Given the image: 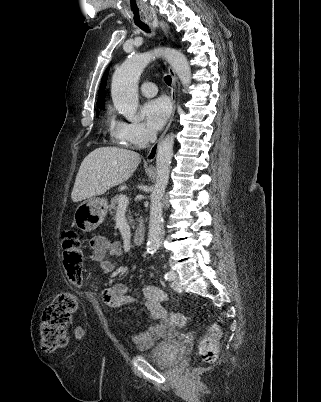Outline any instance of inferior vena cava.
I'll return each instance as SVG.
<instances>
[{"instance_id":"1","label":"inferior vena cava","mask_w":321,"mask_h":402,"mask_svg":"<svg viewBox=\"0 0 321 402\" xmlns=\"http://www.w3.org/2000/svg\"><path fill=\"white\" fill-rule=\"evenodd\" d=\"M149 138H150V140L153 142V141H155V139H156V133L155 132H151L150 134H149Z\"/></svg>"}]
</instances>
